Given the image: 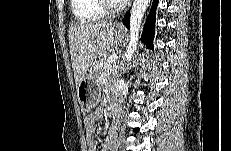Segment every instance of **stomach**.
<instances>
[{"label": "stomach", "instance_id": "0dacf381", "mask_svg": "<svg viewBox=\"0 0 231 151\" xmlns=\"http://www.w3.org/2000/svg\"><path fill=\"white\" fill-rule=\"evenodd\" d=\"M114 37L116 41L121 42L124 38L123 31L121 29L114 30ZM100 96V83L92 66L77 87V97L81 109L90 112L98 104Z\"/></svg>", "mask_w": 231, "mask_h": 151}]
</instances>
